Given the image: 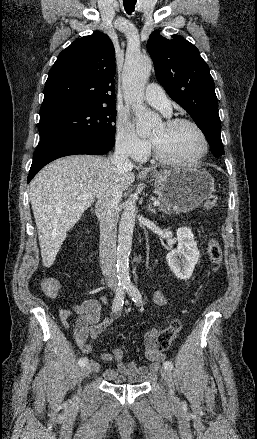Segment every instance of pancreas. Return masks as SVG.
<instances>
[{"label":"pancreas","instance_id":"pancreas-1","mask_svg":"<svg viewBox=\"0 0 257 439\" xmlns=\"http://www.w3.org/2000/svg\"><path fill=\"white\" fill-rule=\"evenodd\" d=\"M161 201V205L159 207V210L164 212L165 214L171 215L174 213H179L178 210H176L170 203L163 199H159Z\"/></svg>","mask_w":257,"mask_h":439}]
</instances>
